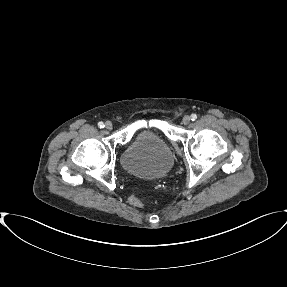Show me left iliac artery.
I'll list each match as a JSON object with an SVG mask.
<instances>
[{"mask_svg": "<svg viewBox=\"0 0 287 287\" xmlns=\"http://www.w3.org/2000/svg\"><path fill=\"white\" fill-rule=\"evenodd\" d=\"M191 119L194 121V120H196L197 119V115L196 114H192L191 115Z\"/></svg>", "mask_w": 287, "mask_h": 287, "instance_id": "left-iliac-artery-1", "label": "left iliac artery"}]
</instances>
